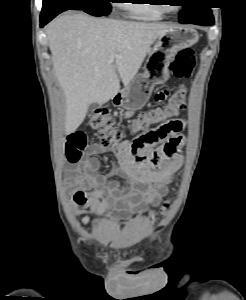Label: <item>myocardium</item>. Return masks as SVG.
<instances>
[{
  "label": "myocardium",
  "mask_w": 246,
  "mask_h": 300,
  "mask_svg": "<svg viewBox=\"0 0 246 300\" xmlns=\"http://www.w3.org/2000/svg\"><path fill=\"white\" fill-rule=\"evenodd\" d=\"M161 9L163 12H166V13H176L180 9V7L179 6H174V7L161 6Z\"/></svg>",
  "instance_id": "1"
}]
</instances>
